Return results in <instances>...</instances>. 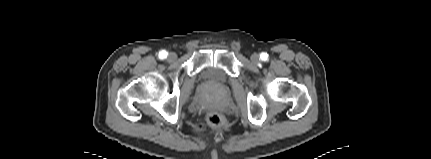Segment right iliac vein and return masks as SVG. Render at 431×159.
<instances>
[{
    "instance_id": "63e3f726",
    "label": "right iliac vein",
    "mask_w": 431,
    "mask_h": 159,
    "mask_svg": "<svg viewBox=\"0 0 431 159\" xmlns=\"http://www.w3.org/2000/svg\"><path fill=\"white\" fill-rule=\"evenodd\" d=\"M176 58H177V55L175 53H170L169 56H168V59L170 61H174Z\"/></svg>"
}]
</instances>
